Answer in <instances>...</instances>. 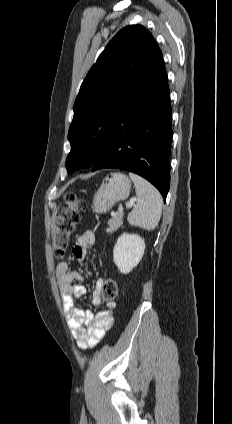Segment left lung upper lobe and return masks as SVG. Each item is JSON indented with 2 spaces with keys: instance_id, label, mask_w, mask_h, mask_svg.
Masks as SVG:
<instances>
[{
  "instance_id": "obj_1",
  "label": "left lung upper lobe",
  "mask_w": 232,
  "mask_h": 424,
  "mask_svg": "<svg viewBox=\"0 0 232 424\" xmlns=\"http://www.w3.org/2000/svg\"><path fill=\"white\" fill-rule=\"evenodd\" d=\"M163 59L151 33L141 25L120 30L84 79L68 132V173L93 165L116 120Z\"/></svg>"
}]
</instances>
